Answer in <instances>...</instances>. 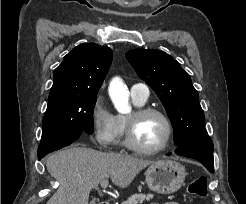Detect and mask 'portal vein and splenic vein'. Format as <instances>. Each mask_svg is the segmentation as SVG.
Segmentation results:
<instances>
[{
    "label": "portal vein and splenic vein",
    "mask_w": 246,
    "mask_h": 204,
    "mask_svg": "<svg viewBox=\"0 0 246 204\" xmlns=\"http://www.w3.org/2000/svg\"><path fill=\"white\" fill-rule=\"evenodd\" d=\"M100 186L103 189L107 188V186H108V180L106 179V180L101 181Z\"/></svg>",
    "instance_id": "18ae733b"
}]
</instances>
